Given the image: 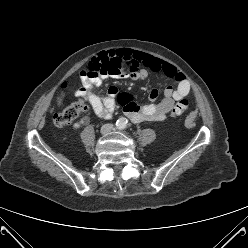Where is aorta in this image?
Instances as JSON below:
<instances>
[{
    "label": "aorta",
    "mask_w": 248,
    "mask_h": 248,
    "mask_svg": "<svg viewBox=\"0 0 248 248\" xmlns=\"http://www.w3.org/2000/svg\"><path fill=\"white\" fill-rule=\"evenodd\" d=\"M118 129H124L127 126V120L125 118H119L116 122Z\"/></svg>",
    "instance_id": "obj_1"
}]
</instances>
